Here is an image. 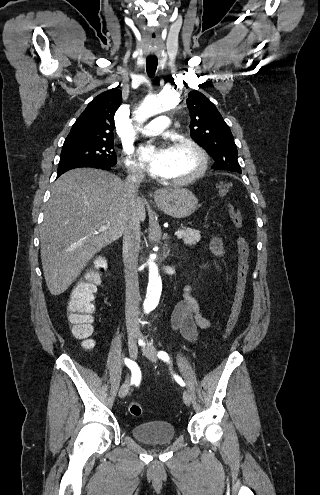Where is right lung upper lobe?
I'll return each instance as SVG.
<instances>
[{
	"instance_id": "obj_1",
	"label": "right lung upper lobe",
	"mask_w": 320,
	"mask_h": 495,
	"mask_svg": "<svg viewBox=\"0 0 320 495\" xmlns=\"http://www.w3.org/2000/svg\"><path fill=\"white\" fill-rule=\"evenodd\" d=\"M121 104V91L112 88L96 96L73 124L65 141H114V115Z\"/></svg>"
}]
</instances>
